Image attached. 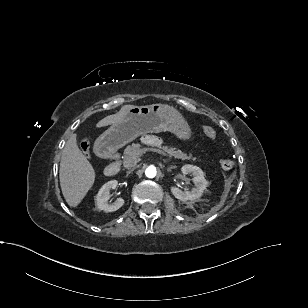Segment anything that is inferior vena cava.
<instances>
[{
  "mask_svg": "<svg viewBox=\"0 0 308 308\" xmlns=\"http://www.w3.org/2000/svg\"><path fill=\"white\" fill-rule=\"evenodd\" d=\"M127 173L128 174H133V168H127Z\"/></svg>",
  "mask_w": 308,
  "mask_h": 308,
  "instance_id": "1",
  "label": "inferior vena cava"
}]
</instances>
